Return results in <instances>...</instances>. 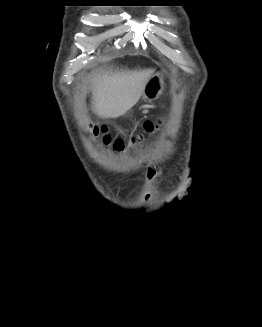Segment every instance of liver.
I'll list each match as a JSON object with an SVG mask.
<instances>
[{"label": "liver", "mask_w": 262, "mask_h": 327, "mask_svg": "<svg viewBox=\"0 0 262 327\" xmlns=\"http://www.w3.org/2000/svg\"><path fill=\"white\" fill-rule=\"evenodd\" d=\"M154 69L103 70L91 80L92 110L102 119L118 118L140 99Z\"/></svg>", "instance_id": "obj_1"}]
</instances>
